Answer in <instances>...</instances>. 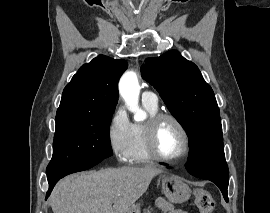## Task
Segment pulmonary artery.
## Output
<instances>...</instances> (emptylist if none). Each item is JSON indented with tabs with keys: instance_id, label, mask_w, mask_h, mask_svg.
<instances>
[{
	"instance_id": "1",
	"label": "pulmonary artery",
	"mask_w": 270,
	"mask_h": 213,
	"mask_svg": "<svg viewBox=\"0 0 270 213\" xmlns=\"http://www.w3.org/2000/svg\"><path fill=\"white\" fill-rule=\"evenodd\" d=\"M142 101L153 106L158 105V98L156 94L151 91H144L142 93Z\"/></svg>"
}]
</instances>
